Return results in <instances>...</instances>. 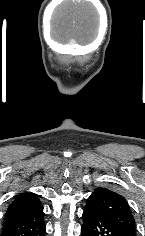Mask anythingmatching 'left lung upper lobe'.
Masks as SVG:
<instances>
[{"instance_id":"obj_1","label":"left lung upper lobe","mask_w":145,"mask_h":236,"mask_svg":"<svg viewBox=\"0 0 145 236\" xmlns=\"http://www.w3.org/2000/svg\"><path fill=\"white\" fill-rule=\"evenodd\" d=\"M86 209L114 223L128 236H136L134 217L122 195L110 189L98 187L87 199Z\"/></svg>"}]
</instances>
